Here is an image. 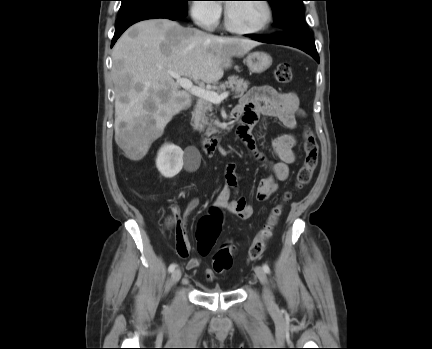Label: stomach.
<instances>
[{"label":"stomach","instance_id":"stomach-1","mask_svg":"<svg viewBox=\"0 0 432 349\" xmlns=\"http://www.w3.org/2000/svg\"><path fill=\"white\" fill-rule=\"evenodd\" d=\"M248 68L254 73H263L272 65V57L265 52L249 53L245 59Z\"/></svg>","mask_w":432,"mask_h":349}]
</instances>
